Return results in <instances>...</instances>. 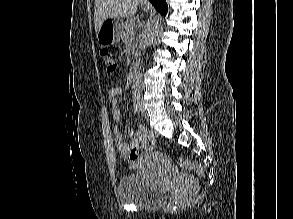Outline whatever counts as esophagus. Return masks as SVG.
I'll list each match as a JSON object with an SVG mask.
<instances>
[{
    "instance_id": "esophagus-1",
    "label": "esophagus",
    "mask_w": 293,
    "mask_h": 219,
    "mask_svg": "<svg viewBox=\"0 0 293 219\" xmlns=\"http://www.w3.org/2000/svg\"><path fill=\"white\" fill-rule=\"evenodd\" d=\"M142 3L148 4L149 2H148V0H142Z\"/></svg>"
}]
</instances>
